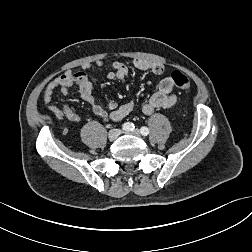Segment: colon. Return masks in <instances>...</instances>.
<instances>
[{
    "label": "colon",
    "mask_w": 252,
    "mask_h": 252,
    "mask_svg": "<svg viewBox=\"0 0 252 252\" xmlns=\"http://www.w3.org/2000/svg\"><path fill=\"white\" fill-rule=\"evenodd\" d=\"M170 77L177 88L181 90H188L190 88V80L183 73L174 71Z\"/></svg>",
    "instance_id": "1"
}]
</instances>
